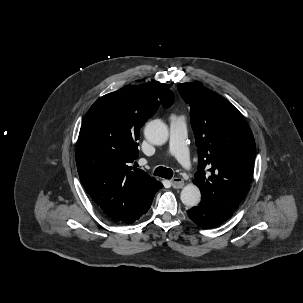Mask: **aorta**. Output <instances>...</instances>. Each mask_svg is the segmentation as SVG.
I'll return each mask as SVG.
<instances>
[{"label":"aorta","mask_w":303,"mask_h":303,"mask_svg":"<svg viewBox=\"0 0 303 303\" xmlns=\"http://www.w3.org/2000/svg\"><path fill=\"white\" fill-rule=\"evenodd\" d=\"M146 139L154 145H163L169 137V131L165 123L153 120L147 123L144 129ZM182 203L186 206H196L201 199L199 188L194 184L186 185L180 194Z\"/></svg>","instance_id":"obj_1"}]
</instances>
